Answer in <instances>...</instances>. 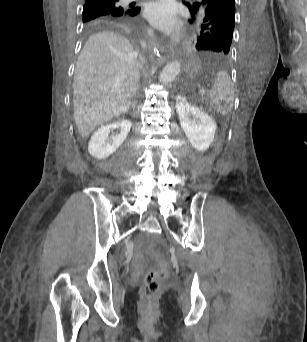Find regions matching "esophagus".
Masks as SVG:
<instances>
[{
    "label": "esophagus",
    "mask_w": 307,
    "mask_h": 342,
    "mask_svg": "<svg viewBox=\"0 0 307 342\" xmlns=\"http://www.w3.org/2000/svg\"><path fill=\"white\" fill-rule=\"evenodd\" d=\"M156 48L160 50L165 60H171L174 57V50L167 46V45H161L160 42L156 43Z\"/></svg>",
    "instance_id": "1"
}]
</instances>
